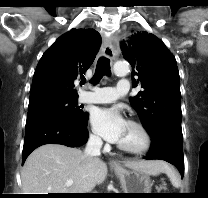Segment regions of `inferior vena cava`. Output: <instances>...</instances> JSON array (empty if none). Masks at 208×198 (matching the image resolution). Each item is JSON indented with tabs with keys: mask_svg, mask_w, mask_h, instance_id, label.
Here are the masks:
<instances>
[{
	"mask_svg": "<svg viewBox=\"0 0 208 198\" xmlns=\"http://www.w3.org/2000/svg\"><path fill=\"white\" fill-rule=\"evenodd\" d=\"M102 147V140L98 136H90L86 148L85 155L89 158H95L100 156V149Z\"/></svg>",
	"mask_w": 208,
	"mask_h": 198,
	"instance_id": "inferior-vena-cava-1",
	"label": "inferior vena cava"
}]
</instances>
